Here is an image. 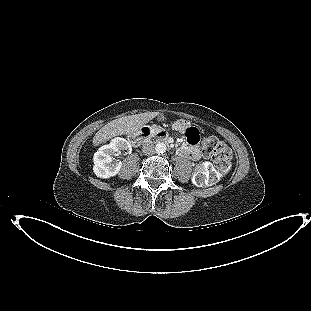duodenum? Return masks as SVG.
Listing matches in <instances>:
<instances>
[{
  "label": "duodenum",
  "instance_id": "duodenum-1",
  "mask_svg": "<svg viewBox=\"0 0 311 311\" xmlns=\"http://www.w3.org/2000/svg\"><path fill=\"white\" fill-rule=\"evenodd\" d=\"M152 137L157 140L169 143V140L165 132L159 128L144 127L140 132L134 134L130 138V142L133 146H140L146 141H149Z\"/></svg>",
  "mask_w": 311,
  "mask_h": 311
}]
</instances>
